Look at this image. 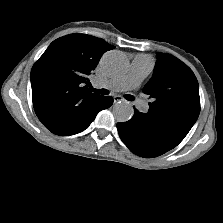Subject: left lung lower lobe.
<instances>
[{"label":"left lung lower lobe","instance_id":"obj_1","mask_svg":"<svg viewBox=\"0 0 223 223\" xmlns=\"http://www.w3.org/2000/svg\"><path fill=\"white\" fill-rule=\"evenodd\" d=\"M124 144L136 155L153 158L176 147L181 140L174 135L150 128L135 111L131 120L117 124Z\"/></svg>","mask_w":223,"mask_h":223}]
</instances>
